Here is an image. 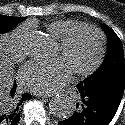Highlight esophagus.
Wrapping results in <instances>:
<instances>
[{"instance_id": "34e87169", "label": "esophagus", "mask_w": 125, "mask_h": 125, "mask_svg": "<svg viewBox=\"0 0 125 125\" xmlns=\"http://www.w3.org/2000/svg\"><path fill=\"white\" fill-rule=\"evenodd\" d=\"M36 96H38V97H41V98H48V97H50V96H52V95H50V94H38V93H34Z\"/></svg>"}]
</instances>
